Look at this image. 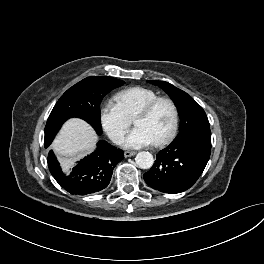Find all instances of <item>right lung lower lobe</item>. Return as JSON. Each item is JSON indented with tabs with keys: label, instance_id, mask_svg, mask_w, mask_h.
<instances>
[{
	"label": "right lung lower lobe",
	"instance_id": "right-lung-lower-lobe-1",
	"mask_svg": "<svg viewBox=\"0 0 264 264\" xmlns=\"http://www.w3.org/2000/svg\"><path fill=\"white\" fill-rule=\"evenodd\" d=\"M123 158L122 150L101 140L97 143V149L80 161L68 175L61 170L52 150L48 154V166L61 187L71 194L86 195L106 188L114 167Z\"/></svg>",
	"mask_w": 264,
	"mask_h": 264
}]
</instances>
